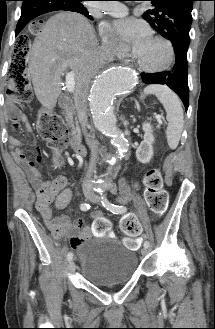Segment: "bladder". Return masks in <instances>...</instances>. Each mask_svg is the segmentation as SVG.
Instances as JSON below:
<instances>
[{
    "label": "bladder",
    "instance_id": "bladder-1",
    "mask_svg": "<svg viewBox=\"0 0 215 329\" xmlns=\"http://www.w3.org/2000/svg\"><path fill=\"white\" fill-rule=\"evenodd\" d=\"M78 254L80 277L95 286L129 281L138 269L136 253L116 238L90 239Z\"/></svg>",
    "mask_w": 215,
    "mask_h": 329
}]
</instances>
